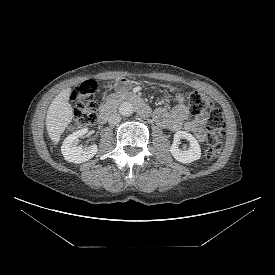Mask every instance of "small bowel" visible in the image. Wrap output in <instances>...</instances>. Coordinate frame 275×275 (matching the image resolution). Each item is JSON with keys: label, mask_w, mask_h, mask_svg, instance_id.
I'll return each mask as SVG.
<instances>
[{"label": "small bowel", "mask_w": 275, "mask_h": 275, "mask_svg": "<svg viewBox=\"0 0 275 275\" xmlns=\"http://www.w3.org/2000/svg\"><path fill=\"white\" fill-rule=\"evenodd\" d=\"M130 87V81L126 78H121L115 83V90L123 92ZM176 105L169 111L165 108H158L154 112V119L156 123L171 131H179L184 129L192 132L197 140L203 141L205 139L204 126L208 114L204 111L189 119V112L185 105V97L178 95L176 98Z\"/></svg>", "instance_id": "c3829d8e"}]
</instances>
